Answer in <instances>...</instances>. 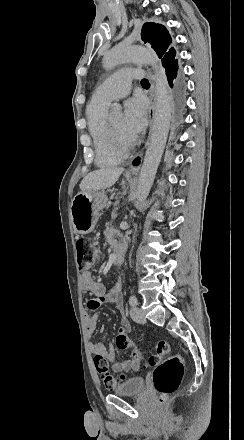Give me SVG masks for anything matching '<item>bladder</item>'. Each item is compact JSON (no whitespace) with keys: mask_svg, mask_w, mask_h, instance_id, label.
Segmentation results:
<instances>
[{"mask_svg":"<svg viewBox=\"0 0 244 440\" xmlns=\"http://www.w3.org/2000/svg\"><path fill=\"white\" fill-rule=\"evenodd\" d=\"M145 387V380L141 377H129L122 384L113 388V394L136 395L141 393Z\"/></svg>","mask_w":244,"mask_h":440,"instance_id":"obj_1","label":"bladder"}]
</instances>
